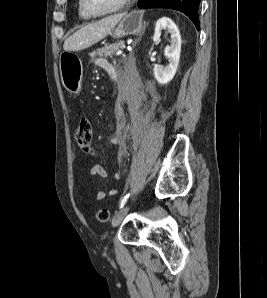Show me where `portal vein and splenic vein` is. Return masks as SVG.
<instances>
[{
    "mask_svg": "<svg viewBox=\"0 0 267 298\" xmlns=\"http://www.w3.org/2000/svg\"><path fill=\"white\" fill-rule=\"evenodd\" d=\"M122 53H123L122 50H118V51L116 52V55L119 56V55H121Z\"/></svg>",
    "mask_w": 267,
    "mask_h": 298,
    "instance_id": "obj_1",
    "label": "portal vein and splenic vein"
}]
</instances>
